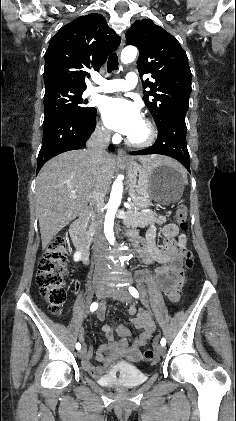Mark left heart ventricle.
Instances as JSON below:
<instances>
[{
    "label": "left heart ventricle",
    "mask_w": 236,
    "mask_h": 421,
    "mask_svg": "<svg viewBox=\"0 0 236 421\" xmlns=\"http://www.w3.org/2000/svg\"><path fill=\"white\" fill-rule=\"evenodd\" d=\"M147 136V127L145 123L139 125V127L129 136L133 140H143Z\"/></svg>",
    "instance_id": "1"
}]
</instances>
